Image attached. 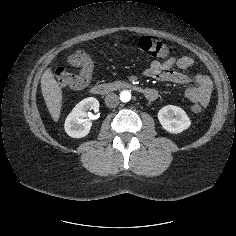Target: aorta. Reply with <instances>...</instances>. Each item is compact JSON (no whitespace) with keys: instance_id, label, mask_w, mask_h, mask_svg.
Instances as JSON below:
<instances>
[{"instance_id":"aorta-1","label":"aorta","mask_w":236,"mask_h":236,"mask_svg":"<svg viewBox=\"0 0 236 236\" xmlns=\"http://www.w3.org/2000/svg\"><path fill=\"white\" fill-rule=\"evenodd\" d=\"M131 99V93L127 90H123L121 93H120V100L122 102H128L130 101Z\"/></svg>"}]
</instances>
